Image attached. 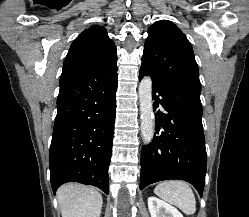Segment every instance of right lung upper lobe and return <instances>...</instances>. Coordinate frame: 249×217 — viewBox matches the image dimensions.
<instances>
[{
    "mask_svg": "<svg viewBox=\"0 0 249 217\" xmlns=\"http://www.w3.org/2000/svg\"><path fill=\"white\" fill-rule=\"evenodd\" d=\"M117 60L116 46L102 26L84 30L71 44L62 73L101 69Z\"/></svg>",
    "mask_w": 249,
    "mask_h": 217,
    "instance_id": "1",
    "label": "right lung upper lobe"
}]
</instances>
